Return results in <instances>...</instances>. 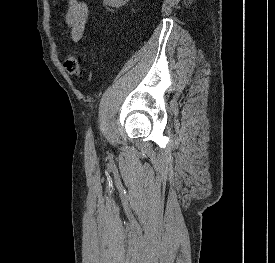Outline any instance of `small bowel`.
Returning a JSON list of instances; mask_svg holds the SVG:
<instances>
[{
    "instance_id": "1",
    "label": "small bowel",
    "mask_w": 275,
    "mask_h": 263,
    "mask_svg": "<svg viewBox=\"0 0 275 263\" xmlns=\"http://www.w3.org/2000/svg\"><path fill=\"white\" fill-rule=\"evenodd\" d=\"M88 15V6L84 2L80 0H68L65 22L70 29L73 42H78L82 39Z\"/></svg>"
}]
</instances>
